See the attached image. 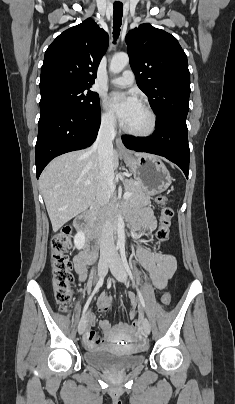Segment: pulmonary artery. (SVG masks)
<instances>
[{
  "instance_id": "obj_1",
  "label": "pulmonary artery",
  "mask_w": 235,
  "mask_h": 404,
  "mask_svg": "<svg viewBox=\"0 0 235 404\" xmlns=\"http://www.w3.org/2000/svg\"><path fill=\"white\" fill-rule=\"evenodd\" d=\"M134 82V74L130 70H126L122 73L121 76L116 77L111 80V83L115 86L119 87H128L132 85Z\"/></svg>"
}]
</instances>
